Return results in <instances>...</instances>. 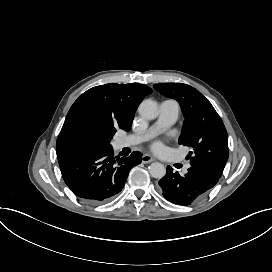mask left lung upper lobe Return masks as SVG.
<instances>
[{"instance_id": "left-lung-upper-lobe-1", "label": "left lung upper lobe", "mask_w": 272, "mask_h": 272, "mask_svg": "<svg viewBox=\"0 0 272 272\" xmlns=\"http://www.w3.org/2000/svg\"><path fill=\"white\" fill-rule=\"evenodd\" d=\"M154 88L180 103L185 123L179 144L193 149L187 157L190 164L221 177L228 160V136L211 103L198 90L183 83H159Z\"/></svg>"}]
</instances>
